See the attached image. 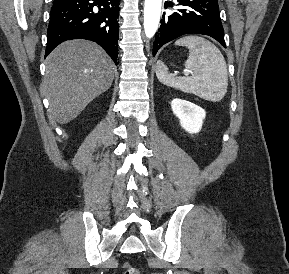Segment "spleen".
I'll return each mask as SVG.
<instances>
[{
	"instance_id": "obj_1",
	"label": "spleen",
	"mask_w": 289,
	"mask_h": 274,
	"mask_svg": "<svg viewBox=\"0 0 289 274\" xmlns=\"http://www.w3.org/2000/svg\"><path fill=\"white\" fill-rule=\"evenodd\" d=\"M175 45L189 49L185 68L191 77H174L162 61L156 65V76L166 86L192 93L202 99L218 102L223 99L228 87L226 61L220 50L203 37L189 35L176 40Z\"/></svg>"
}]
</instances>
